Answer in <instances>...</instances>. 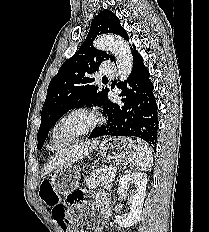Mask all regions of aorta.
<instances>
[{
    "mask_svg": "<svg viewBox=\"0 0 209 232\" xmlns=\"http://www.w3.org/2000/svg\"><path fill=\"white\" fill-rule=\"evenodd\" d=\"M94 47L110 51L114 55L119 78L125 81L132 69V54L128 44L119 37L101 35L94 41Z\"/></svg>",
    "mask_w": 209,
    "mask_h": 232,
    "instance_id": "1",
    "label": "aorta"
}]
</instances>
